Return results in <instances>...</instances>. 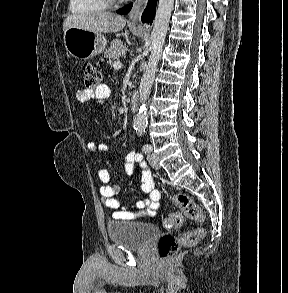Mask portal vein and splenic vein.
<instances>
[{
    "label": "portal vein and splenic vein",
    "mask_w": 288,
    "mask_h": 293,
    "mask_svg": "<svg viewBox=\"0 0 288 293\" xmlns=\"http://www.w3.org/2000/svg\"><path fill=\"white\" fill-rule=\"evenodd\" d=\"M113 67L115 69H120L122 67V63L120 61H115Z\"/></svg>",
    "instance_id": "1"
}]
</instances>
